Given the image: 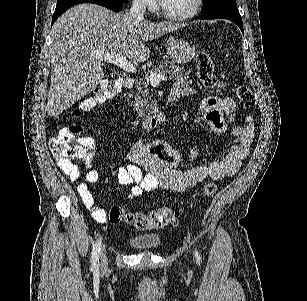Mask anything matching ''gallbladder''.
Here are the masks:
<instances>
[{
	"label": "gallbladder",
	"instance_id": "gallbladder-1",
	"mask_svg": "<svg viewBox=\"0 0 307 301\" xmlns=\"http://www.w3.org/2000/svg\"><path fill=\"white\" fill-rule=\"evenodd\" d=\"M106 76H109V74H107V72H106Z\"/></svg>",
	"mask_w": 307,
	"mask_h": 301
}]
</instances>
